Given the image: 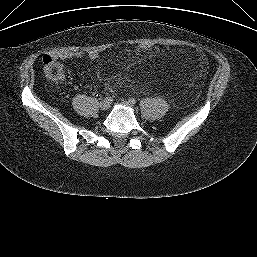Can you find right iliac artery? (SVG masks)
<instances>
[{"label":"right iliac artery","instance_id":"82829eb1","mask_svg":"<svg viewBox=\"0 0 257 257\" xmlns=\"http://www.w3.org/2000/svg\"><path fill=\"white\" fill-rule=\"evenodd\" d=\"M104 101L107 103H112L113 99L110 96L104 98Z\"/></svg>","mask_w":257,"mask_h":257}]
</instances>
